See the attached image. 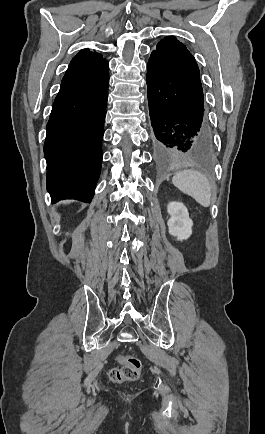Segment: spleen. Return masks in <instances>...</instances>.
I'll return each mask as SVG.
<instances>
[{
    "instance_id": "spleen-1",
    "label": "spleen",
    "mask_w": 265,
    "mask_h": 434,
    "mask_svg": "<svg viewBox=\"0 0 265 434\" xmlns=\"http://www.w3.org/2000/svg\"><path fill=\"white\" fill-rule=\"evenodd\" d=\"M176 188H179L184 194L192 196L198 204L208 208L211 200V186L209 180L196 170H182L172 178Z\"/></svg>"
}]
</instances>
